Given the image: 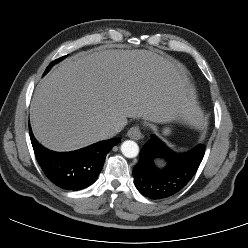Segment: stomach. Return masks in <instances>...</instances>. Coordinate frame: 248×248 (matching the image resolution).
<instances>
[{
  "label": "stomach",
  "mask_w": 248,
  "mask_h": 248,
  "mask_svg": "<svg viewBox=\"0 0 248 248\" xmlns=\"http://www.w3.org/2000/svg\"><path fill=\"white\" fill-rule=\"evenodd\" d=\"M171 133V129L169 128V127H165L164 129H163V134L164 135H169Z\"/></svg>",
  "instance_id": "stomach-1"
}]
</instances>
